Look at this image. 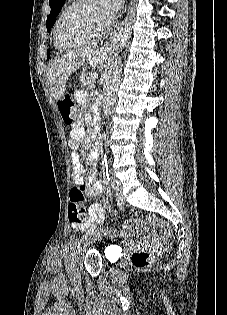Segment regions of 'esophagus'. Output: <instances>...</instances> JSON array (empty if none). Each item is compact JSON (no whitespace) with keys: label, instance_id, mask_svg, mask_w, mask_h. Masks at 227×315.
<instances>
[{"label":"esophagus","instance_id":"34e87169","mask_svg":"<svg viewBox=\"0 0 227 315\" xmlns=\"http://www.w3.org/2000/svg\"><path fill=\"white\" fill-rule=\"evenodd\" d=\"M123 23V22H122ZM121 23V24H122ZM116 38H118V34H117V32L115 31L114 33H113V35L111 36V38H110V42H113V39L115 40Z\"/></svg>","mask_w":227,"mask_h":315}]
</instances>
